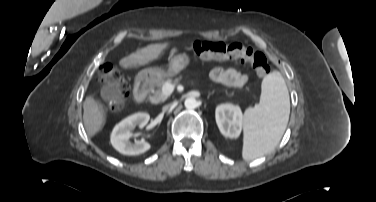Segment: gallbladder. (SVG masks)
<instances>
[{"mask_svg": "<svg viewBox=\"0 0 376 202\" xmlns=\"http://www.w3.org/2000/svg\"><path fill=\"white\" fill-rule=\"evenodd\" d=\"M121 90L113 83L104 85L101 88V97L105 101H115L120 98Z\"/></svg>", "mask_w": 376, "mask_h": 202, "instance_id": "1", "label": "gallbladder"}]
</instances>
